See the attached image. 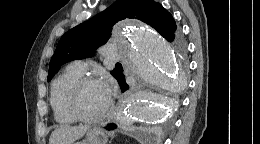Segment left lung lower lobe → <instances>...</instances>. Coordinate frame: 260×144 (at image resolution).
<instances>
[{"label": "left lung lower lobe", "mask_w": 260, "mask_h": 144, "mask_svg": "<svg viewBox=\"0 0 260 144\" xmlns=\"http://www.w3.org/2000/svg\"><path fill=\"white\" fill-rule=\"evenodd\" d=\"M175 42L176 43H182V38H181V35L179 33H177L176 36H175ZM116 79H117V81H118V83L121 87L122 92H125L129 89V86L126 84L125 77L122 73H119ZM116 127H117L116 124L110 123V124L107 125L106 128L108 130H111V129H114Z\"/></svg>", "instance_id": "0a47b994"}]
</instances>
